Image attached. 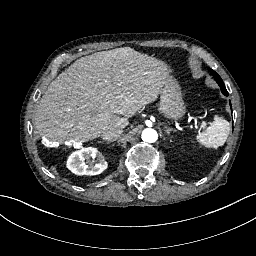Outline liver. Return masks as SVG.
<instances>
[{
	"label": "liver",
	"instance_id": "1",
	"mask_svg": "<svg viewBox=\"0 0 256 256\" xmlns=\"http://www.w3.org/2000/svg\"><path fill=\"white\" fill-rule=\"evenodd\" d=\"M174 77L166 61L128 46L82 57L48 86L36 110L37 132L48 144H80L125 128Z\"/></svg>",
	"mask_w": 256,
	"mask_h": 256
}]
</instances>
